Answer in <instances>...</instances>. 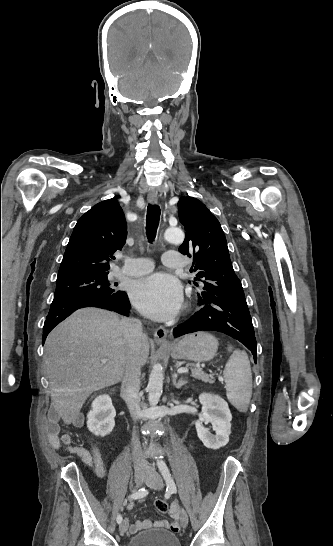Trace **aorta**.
<instances>
[{"mask_svg": "<svg viewBox=\"0 0 333 546\" xmlns=\"http://www.w3.org/2000/svg\"><path fill=\"white\" fill-rule=\"evenodd\" d=\"M163 238L170 243L181 244L184 240V233L178 228L167 229L164 232ZM147 390L149 393V404L153 408L158 404L163 391V368L160 364L153 366L149 376Z\"/></svg>", "mask_w": 333, "mask_h": 546, "instance_id": "1", "label": "aorta"}]
</instances>
